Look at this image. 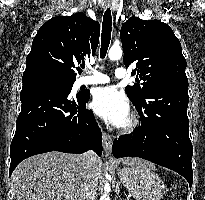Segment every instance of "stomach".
I'll use <instances>...</instances> for the list:
<instances>
[{"instance_id":"1","label":"stomach","mask_w":205,"mask_h":200,"mask_svg":"<svg viewBox=\"0 0 205 200\" xmlns=\"http://www.w3.org/2000/svg\"><path fill=\"white\" fill-rule=\"evenodd\" d=\"M120 181L136 200H161L165 194L162 179L146 164L117 169Z\"/></svg>"}]
</instances>
